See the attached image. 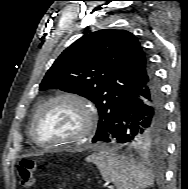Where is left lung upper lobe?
<instances>
[{"label": "left lung upper lobe", "mask_w": 188, "mask_h": 189, "mask_svg": "<svg viewBox=\"0 0 188 189\" xmlns=\"http://www.w3.org/2000/svg\"><path fill=\"white\" fill-rule=\"evenodd\" d=\"M153 75L150 61L132 33L105 29L89 33L65 49L39 89H61L94 102L99 112L94 142L113 126L135 89ZM163 139L164 133H145L133 146L160 149Z\"/></svg>", "instance_id": "obj_1"}]
</instances>
